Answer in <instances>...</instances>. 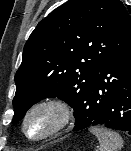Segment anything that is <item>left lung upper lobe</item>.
<instances>
[{"mask_svg": "<svg viewBox=\"0 0 131 151\" xmlns=\"http://www.w3.org/2000/svg\"><path fill=\"white\" fill-rule=\"evenodd\" d=\"M131 46V17L120 0H68L41 20L24 46L15 74L12 123L45 98L82 113L102 67Z\"/></svg>", "mask_w": 131, "mask_h": 151, "instance_id": "left-lung-upper-lobe-1", "label": "left lung upper lobe"}]
</instances>
